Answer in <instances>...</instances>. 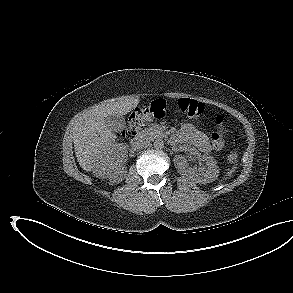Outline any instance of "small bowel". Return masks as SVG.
I'll return each instance as SVG.
<instances>
[{"label":"small bowel","mask_w":293,"mask_h":293,"mask_svg":"<svg viewBox=\"0 0 293 293\" xmlns=\"http://www.w3.org/2000/svg\"><path fill=\"white\" fill-rule=\"evenodd\" d=\"M177 138L182 141L190 142L202 152L209 151L211 147L206 134L189 123L183 124Z\"/></svg>","instance_id":"c3829d8e"}]
</instances>
